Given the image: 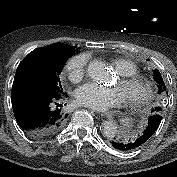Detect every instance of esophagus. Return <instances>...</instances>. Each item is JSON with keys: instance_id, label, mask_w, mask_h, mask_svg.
I'll list each match as a JSON object with an SVG mask.
<instances>
[{"instance_id": "esophagus-1", "label": "esophagus", "mask_w": 177, "mask_h": 177, "mask_svg": "<svg viewBox=\"0 0 177 177\" xmlns=\"http://www.w3.org/2000/svg\"><path fill=\"white\" fill-rule=\"evenodd\" d=\"M102 117H103L104 119H107V118L109 117V114H108L107 112H104V113L102 114Z\"/></svg>"}]
</instances>
